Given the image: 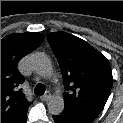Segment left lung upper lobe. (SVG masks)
Returning a JSON list of instances; mask_svg holds the SVG:
<instances>
[{"label": "left lung upper lobe", "mask_w": 123, "mask_h": 123, "mask_svg": "<svg viewBox=\"0 0 123 123\" xmlns=\"http://www.w3.org/2000/svg\"><path fill=\"white\" fill-rule=\"evenodd\" d=\"M63 76V113L81 123H91L102 111L113 77L108 59L86 41L66 32L47 35Z\"/></svg>", "instance_id": "5c2ea615"}]
</instances>
